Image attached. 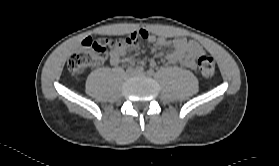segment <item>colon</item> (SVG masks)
Returning a JSON list of instances; mask_svg holds the SVG:
<instances>
[{
    "label": "colon",
    "mask_w": 279,
    "mask_h": 166,
    "mask_svg": "<svg viewBox=\"0 0 279 166\" xmlns=\"http://www.w3.org/2000/svg\"><path fill=\"white\" fill-rule=\"evenodd\" d=\"M134 41L131 36L86 38L80 48L68 60V69L75 75L85 73L89 68L104 62L114 50L128 46ZM197 66L204 76H211L215 72L214 59L206 54L197 58Z\"/></svg>",
    "instance_id": "5ec220e1"
}]
</instances>
